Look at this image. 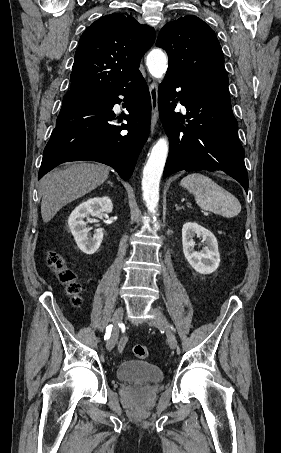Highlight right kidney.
Returning a JSON list of instances; mask_svg holds the SVG:
<instances>
[{"mask_svg": "<svg viewBox=\"0 0 281 453\" xmlns=\"http://www.w3.org/2000/svg\"><path fill=\"white\" fill-rule=\"evenodd\" d=\"M113 204L109 196H94L88 198L85 202H80L74 210H72L68 218V227L79 247L80 251L86 255H93L98 251L103 241L102 229H95L93 237H89L87 222L91 220L89 216H102L104 212H112ZM87 218V220H84ZM93 222H99L97 218H93ZM99 227V224H96Z\"/></svg>", "mask_w": 281, "mask_h": 453, "instance_id": "1", "label": "right kidney"}]
</instances>
